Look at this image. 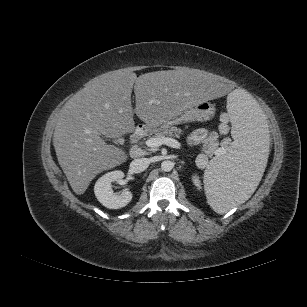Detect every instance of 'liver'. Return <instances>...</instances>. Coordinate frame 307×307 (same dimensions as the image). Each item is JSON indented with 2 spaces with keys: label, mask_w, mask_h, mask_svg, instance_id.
I'll return each mask as SVG.
<instances>
[{
  "label": "liver",
  "mask_w": 307,
  "mask_h": 307,
  "mask_svg": "<svg viewBox=\"0 0 307 307\" xmlns=\"http://www.w3.org/2000/svg\"><path fill=\"white\" fill-rule=\"evenodd\" d=\"M229 92L221 77L212 79L188 68L139 77L124 70L105 73L88 82L60 110L53 135L59 165L73 191L81 195L97 174L127 158L122 149L105 143L102 135L117 138L133 132L134 113L146 124L165 122L195 103Z\"/></svg>",
  "instance_id": "obj_1"
}]
</instances>
